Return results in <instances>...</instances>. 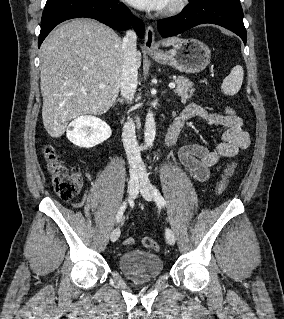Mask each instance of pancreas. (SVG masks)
<instances>
[{"label":"pancreas","mask_w":284,"mask_h":319,"mask_svg":"<svg viewBox=\"0 0 284 319\" xmlns=\"http://www.w3.org/2000/svg\"><path fill=\"white\" fill-rule=\"evenodd\" d=\"M177 87L175 89V93H177L183 102H185L187 99H190L193 96L194 88H192V83L189 81V79L179 76L176 79Z\"/></svg>","instance_id":"1"}]
</instances>
